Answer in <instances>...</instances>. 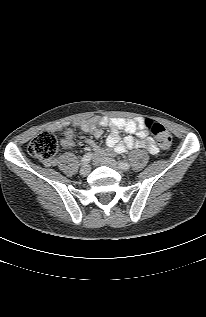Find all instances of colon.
Returning a JSON list of instances; mask_svg holds the SVG:
<instances>
[{"instance_id": "colon-1", "label": "colon", "mask_w": 206, "mask_h": 317, "mask_svg": "<svg viewBox=\"0 0 206 317\" xmlns=\"http://www.w3.org/2000/svg\"><path fill=\"white\" fill-rule=\"evenodd\" d=\"M145 128L156 138L160 146L167 148L170 146L172 138L169 131L160 123L153 120H145ZM58 150V141L50 131H42L34 137L29 145L28 152L42 160H51Z\"/></svg>"}]
</instances>
